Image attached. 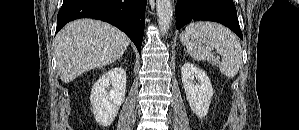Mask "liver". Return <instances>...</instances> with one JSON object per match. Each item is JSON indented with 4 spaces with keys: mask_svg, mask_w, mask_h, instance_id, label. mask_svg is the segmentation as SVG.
<instances>
[{
    "mask_svg": "<svg viewBox=\"0 0 299 130\" xmlns=\"http://www.w3.org/2000/svg\"><path fill=\"white\" fill-rule=\"evenodd\" d=\"M130 39L116 27L91 19L67 24L54 41L60 79L69 83L89 70L118 60Z\"/></svg>",
    "mask_w": 299,
    "mask_h": 130,
    "instance_id": "1",
    "label": "liver"
}]
</instances>
